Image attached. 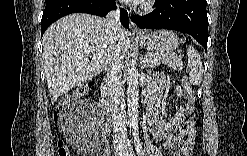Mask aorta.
Here are the masks:
<instances>
[{"instance_id": "762f6f07", "label": "aorta", "mask_w": 247, "mask_h": 156, "mask_svg": "<svg viewBox=\"0 0 247 156\" xmlns=\"http://www.w3.org/2000/svg\"><path fill=\"white\" fill-rule=\"evenodd\" d=\"M127 75L128 116L132 126H136L138 123L139 73L134 60L129 63Z\"/></svg>"}]
</instances>
